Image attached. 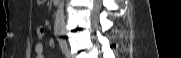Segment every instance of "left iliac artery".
I'll use <instances>...</instances> for the list:
<instances>
[{"label": "left iliac artery", "mask_w": 181, "mask_h": 58, "mask_svg": "<svg viewBox=\"0 0 181 58\" xmlns=\"http://www.w3.org/2000/svg\"><path fill=\"white\" fill-rule=\"evenodd\" d=\"M59 44H60V47H61L62 51H63L64 53H66V52H67V44H66V41L61 38V39H59Z\"/></svg>", "instance_id": "obj_1"}]
</instances>
